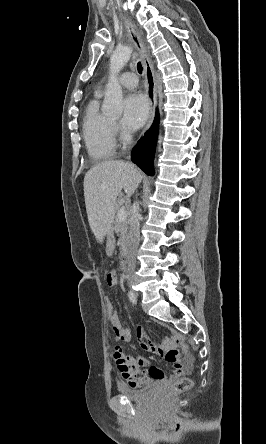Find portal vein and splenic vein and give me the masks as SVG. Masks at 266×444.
Wrapping results in <instances>:
<instances>
[{
  "label": "portal vein and splenic vein",
  "instance_id": "obj_1",
  "mask_svg": "<svg viewBox=\"0 0 266 444\" xmlns=\"http://www.w3.org/2000/svg\"><path fill=\"white\" fill-rule=\"evenodd\" d=\"M117 216H118L119 219H123V218L126 216V209H125V206H122V207L120 208V210L118 211Z\"/></svg>",
  "mask_w": 266,
  "mask_h": 444
}]
</instances>
